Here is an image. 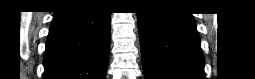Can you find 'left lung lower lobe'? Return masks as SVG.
I'll use <instances>...</instances> for the list:
<instances>
[{
  "label": "left lung lower lobe",
  "mask_w": 255,
  "mask_h": 79,
  "mask_svg": "<svg viewBox=\"0 0 255 79\" xmlns=\"http://www.w3.org/2000/svg\"><path fill=\"white\" fill-rule=\"evenodd\" d=\"M138 27L145 79H204V58L191 14L168 6L139 12Z\"/></svg>",
  "instance_id": "1"
}]
</instances>
